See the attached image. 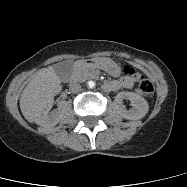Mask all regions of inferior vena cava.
Here are the masks:
<instances>
[{"instance_id":"1","label":"inferior vena cava","mask_w":187,"mask_h":187,"mask_svg":"<svg viewBox=\"0 0 187 187\" xmlns=\"http://www.w3.org/2000/svg\"><path fill=\"white\" fill-rule=\"evenodd\" d=\"M69 90L71 93H78L82 90V88L79 83L74 82L69 85Z\"/></svg>"}]
</instances>
